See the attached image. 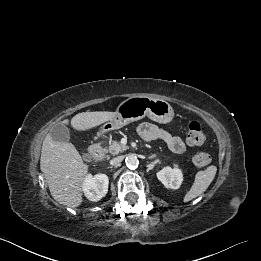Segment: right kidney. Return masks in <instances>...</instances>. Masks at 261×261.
Listing matches in <instances>:
<instances>
[{
  "instance_id": "obj_1",
  "label": "right kidney",
  "mask_w": 261,
  "mask_h": 261,
  "mask_svg": "<svg viewBox=\"0 0 261 261\" xmlns=\"http://www.w3.org/2000/svg\"><path fill=\"white\" fill-rule=\"evenodd\" d=\"M109 179L105 174H88L85 178L82 189L90 201H99L108 192Z\"/></svg>"
}]
</instances>
